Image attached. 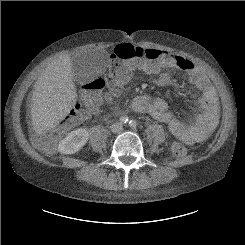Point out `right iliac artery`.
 Masks as SVG:
<instances>
[{"mask_svg":"<svg viewBox=\"0 0 245 245\" xmlns=\"http://www.w3.org/2000/svg\"><path fill=\"white\" fill-rule=\"evenodd\" d=\"M128 121H129V119H128V117H126V116H122V117L120 118V122H121L122 124H126V123H128Z\"/></svg>","mask_w":245,"mask_h":245,"instance_id":"82829eb1","label":"right iliac artery"}]
</instances>
